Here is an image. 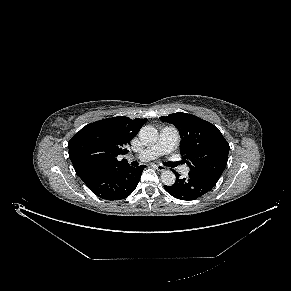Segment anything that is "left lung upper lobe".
<instances>
[{"instance_id":"1","label":"left lung upper lobe","mask_w":291,"mask_h":291,"mask_svg":"<svg viewBox=\"0 0 291 291\" xmlns=\"http://www.w3.org/2000/svg\"><path fill=\"white\" fill-rule=\"evenodd\" d=\"M160 119L178 128L181 137L180 151L191 172L223 173L230 147L213 124L182 112L162 116Z\"/></svg>"}]
</instances>
